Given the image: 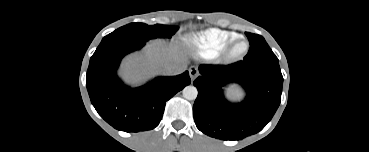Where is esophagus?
Instances as JSON below:
<instances>
[{"instance_id": "34e87169", "label": "esophagus", "mask_w": 369, "mask_h": 152, "mask_svg": "<svg viewBox=\"0 0 369 152\" xmlns=\"http://www.w3.org/2000/svg\"><path fill=\"white\" fill-rule=\"evenodd\" d=\"M189 75H190V77H191L192 80H194L197 77L198 70H197V68L195 66L190 67V69H189Z\"/></svg>"}]
</instances>
